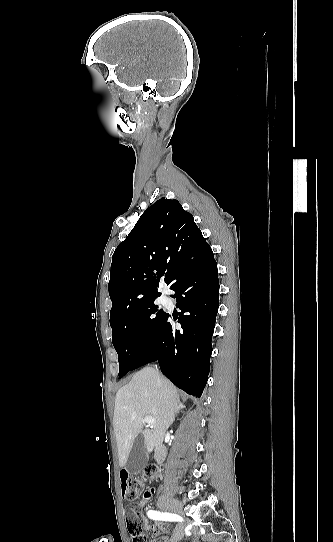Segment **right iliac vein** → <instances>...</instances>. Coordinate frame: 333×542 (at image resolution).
<instances>
[{"instance_id": "right-iliac-vein-1", "label": "right iliac vein", "mask_w": 333, "mask_h": 542, "mask_svg": "<svg viewBox=\"0 0 333 542\" xmlns=\"http://www.w3.org/2000/svg\"><path fill=\"white\" fill-rule=\"evenodd\" d=\"M165 498L167 500H169L170 502H160L159 507L161 509L171 510V511L177 512L181 516H184L183 510H182V504L179 501H177L175 499H169L167 497H165ZM183 530H184L183 524H181V523L177 524V526L175 527L174 534L172 536L171 541L172 542H178V541L182 540L183 537H184Z\"/></svg>"}]
</instances>
